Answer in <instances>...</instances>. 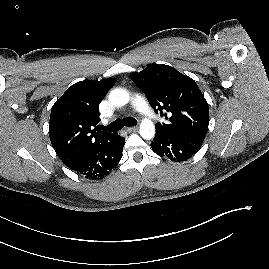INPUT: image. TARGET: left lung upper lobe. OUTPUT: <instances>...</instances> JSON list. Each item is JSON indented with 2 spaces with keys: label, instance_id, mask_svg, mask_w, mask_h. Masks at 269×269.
<instances>
[{
  "label": "left lung upper lobe",
  "instance_id": "1",
  "mask_svg": "<svg viewBox=\"0 0 269 269\" xmlns=\"http://www.w3.org/2000/svg\"><path fill=\"white\" fill-rule=\"evenodd\" d=\"M130 78L145 93L155 112L167 123L156 130L166 134L206 135L209 107L195 81L168 65L152 64Z\"/></svg>",
  "mask_w": 269,
  "mask_h": 269
}]
</instances>
